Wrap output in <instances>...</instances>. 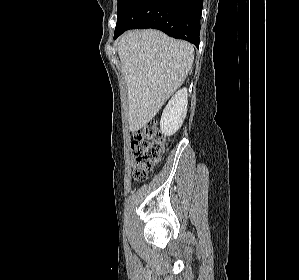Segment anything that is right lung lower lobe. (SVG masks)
<instances>
[{"label":"right lung lower lobe","instance_id":"right-lung-lower-lobe-1","mask_svg":"<svg viewBox=\"0 0 299 280\" xmlns=\"http://www.w3.org/2000/svg\"><path fill=\"white\" fill-rule=\"evenodd\" d=\"M203 0H124L114 39L128 29L153 28L199 46Z\"/></svg>","mask_w":299,"mask_h":280}]
</instances>
